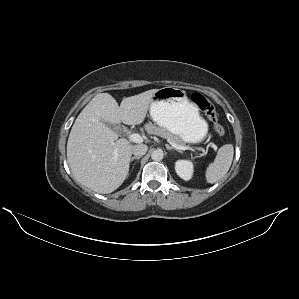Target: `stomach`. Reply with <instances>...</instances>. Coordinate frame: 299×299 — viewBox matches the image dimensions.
<instances>
[{
	"instance_id": "stomach-1",
	"label": "stomach",
	"mask_w": 299,
	"mask_h": 299,
	"mask_svg": "<svg viewBox=\"0 0 299 299\" xmlns=\"http://www.w3.org/2000/svg\"><path fill=\"white\" fill-rule=\"evenodd\" d=\"M150 116L157 125L186 143H199L208 132V124L198 108L189 101L184 90L176 87H164L154 93Z\"/></svg>"
}]
</instances>
